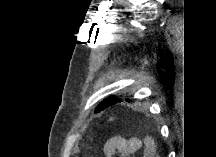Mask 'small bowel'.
Instances as JSON below:
<instances>
[{
  "label": "small bowel",
  "mask_w": 216,
  "mask_h": 157,
  "mask_svg": "<svg viewBox=\"0 0 216 157\" xmlns=\"http://www.w3.org/2000/svg\"><path fill=\"white\" fill-rule=\"evenodd\" d=\"M143 150L144 157H152L155 154V143L151 138L140 140L139 138H124L114 136L106 142L104 154L107 157L113 156L116 152L122 157H133Z\"/></svg>",
  "instance_id": "small-bowel-1"
}]
</instances>
